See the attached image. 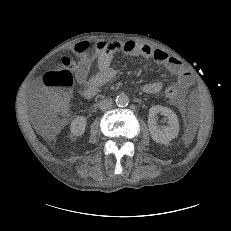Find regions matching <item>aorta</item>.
<instances>
[{
	"instance_id": "762f6f07",
	"label": "aorta",
	"mask_w": 231,
	"mask_h": 231,
	"mask_svg": "<svg viewBox=\"0 0 231 231\" xmlns=\"http://www.w3.org/2000/svg\"><path fill=\"white\" fill-rule=\"evenodd\" d=\"M128 103H129V97L126 94L121 93L116 97V104L119 107L127 106Z\"/></svg>"
}]
</instances>
